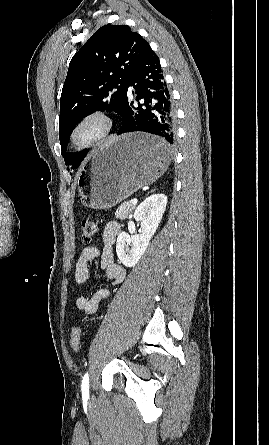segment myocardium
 Listing matches in <instances>:
<instances>
[{
    "mask_svg": "<svg viewBox=\"0 0 269 445\" xmlns=\"http://www.w3.org/2000/svg\"><path fill=\"white\" fill-rule=\"evenodd\" d=\"M113 119L102 110L90 111L74 124L69 141L76 151H85L103 141L112 132Z\"/></svg>",
    "mask_w": 269,
    "mask_h": 445,
    "instance_id": "myocardium-1",
    "label": "myocardium"
}]
</instances>
